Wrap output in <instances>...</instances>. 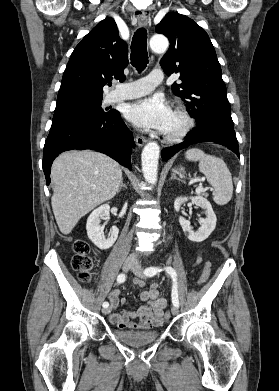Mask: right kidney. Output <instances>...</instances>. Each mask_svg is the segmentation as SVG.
Listing matches in <instances>:
<instances>
[{
    "label": "right kidney",
    "mask_w": 279,
    "mask_h": 391,
    "mask_svg": "<svg viewBox=\"0 0 279 391\" xmlns=\"http://www.w3.org/2000/svg\"><path fill=\"white\" fill-rule=\"evenodd\" d=\"M110 206L103 204L95 209L88 217L86 230L88 238L99 249L106 250L113 246L118 238L119 229L113 226L109 232L108 238H105L103 228L100 226L101 219H107L109 217Z\"/></svg>",
    "instance_id": "1"
}]
</instances>
